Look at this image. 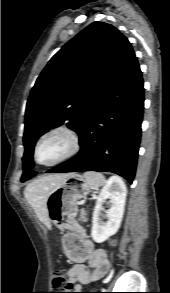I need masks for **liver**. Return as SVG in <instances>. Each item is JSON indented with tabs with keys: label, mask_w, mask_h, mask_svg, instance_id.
<instances>
[{
	"label": "liver",
	"mask_w": 170,
	"mask_h": 293,
	"mask_svg": "<svg viewBox=\"0 0 170 293\" xmlns=\"http://www.w3.org/2000/svg\"><path fill=\"white\" fill-rule=\"evenodd\" d=\"M67 174H50L42 176L29 183L25 190L24 196L27 202L35 211L38 219L50 229V221L47 211V199L51 189L65 178Z\"/></svg>",
	"instance_id": "obj_1"
}]
</instances>
